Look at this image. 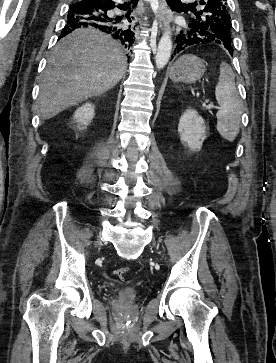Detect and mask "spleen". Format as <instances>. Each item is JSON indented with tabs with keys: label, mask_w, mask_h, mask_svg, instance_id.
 Masks as SVG:
<instances>
[{
	"label": "spleen",
	"mask_w": 276,
	"mask_h": 363,
	"mask_svg": "<svg viewBox=\"0 0 276 363\" xmlns=\"http://www.w3.org/2000/svg\"><path fill=\"white\" fill-rule=\"evenodd\" d=\"M215 97L219 104L216 114L217 131L224 139L232 142L240 129L242 101L236 89L234 72L226 62L220 64Z\"/></svg>",
	"instance_id": "obj_1"
}]
</instances>
